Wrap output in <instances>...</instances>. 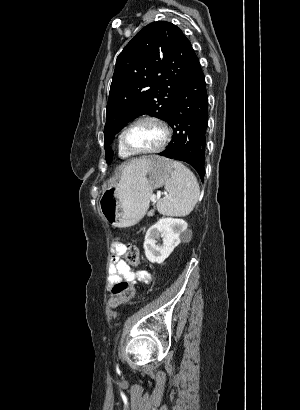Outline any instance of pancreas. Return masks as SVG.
<instances>
[{
	"label": "pancreas",
	"instance_id": "pancreas-1",
	"mask_svg": "<svg viewBox=\"0 0 300 410\" xmlns=\"http://www.w3.org/2000/svg\"><path fill=\"white\" fill-rule=\"evenodd\" d=\"M154 215V210H151L149 213H148V216H153Z\"/></svg>",
	"mask_w": 300,
	"mask_h": 410
}]
</instances>
